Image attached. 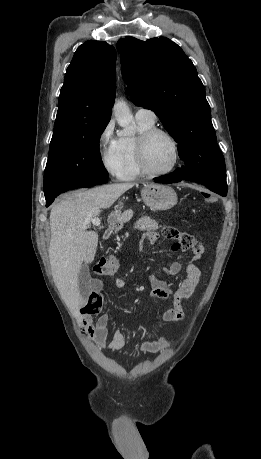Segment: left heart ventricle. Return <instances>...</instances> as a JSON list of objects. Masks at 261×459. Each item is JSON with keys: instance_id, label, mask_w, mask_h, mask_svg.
I'll list each match as a JSON object with an SVG mask.
<instances>
[{"instance_id": "b2bd125f", "label": "left heart ventricle", "mask_w": 261, "mask_h": 459, "mask_svg": "<svg viewBox=\"0 0 261 459\" xmlns=\"http://www.w3.org/2000/svg\"><path fill=\"white\" fill-rule=\"evenodd\" d=\"M174 149L171 141L164 135L153 137L147 147V163L151 170H167L173 163Z\"/></svg>"}]
</instances>
